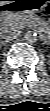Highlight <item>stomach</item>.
<instances>
[{
	"mask_svg": "<svg viewBox=\"0 0 50 111\" xmlns=\"http://www.w3.org/2000/svg\"><path fill=\"white\" fill-rule=\"evenodd\" d=\"M23 4L21 6L22 11L24 13H38L43 11L47 6V0H22ZM11 2H8L7 4H10ZM6 4V5H7Z\"/></svg>",
	"mask_w": 50,
	"mask_h": 111,
	"instance_id": "stomach-1",
	"label": "stomach"
}]
</instances>
